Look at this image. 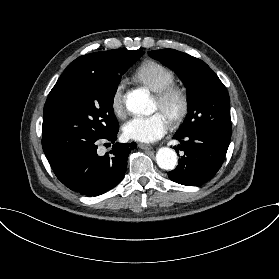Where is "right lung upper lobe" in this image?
<instances>
[{"label":"right lung upper lobe","instance_id":"cb5924a9","mask_svg":"<svg viewBox=\"0 0 279 279\" xmlns=\"http://www.w3.org/2000/svg\"><path fill=\"white\" fill-rule=\"evenodd\" d=\"M127 50H109L80 56L65 69L74 71L103 72L112 66Z\"/></svg>","mask_w":279,"mask_h":279}]
</instances>
